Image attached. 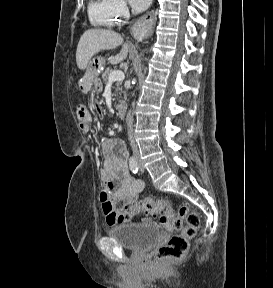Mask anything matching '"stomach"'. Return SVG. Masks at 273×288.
<instances>
[{"label":"stomach","mask_w":273,"mask_h":288,"mask_svg":"<svg viewBox=\"0 0 273 288\" xmlns=\"http://www.w3.org/2000/svg\"><path fill=\"white\" fill-rule=\"evenodd\" d=\"M106 64V59L102 56L94 57L87 65V71L83 77V81L88 84L87 90L93 93H100L102 91V84L99 75Z\"/></svg>","instance_id":"obj_1"}]
</instances>
